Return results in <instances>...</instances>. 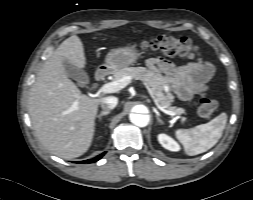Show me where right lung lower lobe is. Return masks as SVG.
Returning a JSON list of instances; mask_svg holds the SVG:
<instances>
[{"instance_id": "1", "label": "right lung lower lobe", "mask_w": 253, "mask_h": 200, "mask_svg": "<svg viewBox=\"0 0 253 200\" xmlns=\"http://www.w3.org/2000/svg\"><path fill=\"white\" fill-rule=\"evenodd\" d=\"M104 154H105V153H102V154L98 155L97 157H95V158H93V159L81 161V162H78V163H93V162L99 160Z\"/></svg>"}]
</instances>
